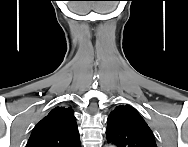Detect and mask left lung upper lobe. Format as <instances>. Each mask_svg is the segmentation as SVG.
Returning a JSON list of instances; mask_svg holds the SVG:
<instances>
[{
	"label": "left lung upper lobe",
	"mask_w": 188,
	"mask_h": 147,
	"mask_svg": "<svg viewBox=\"0 0 188 147\" xmlns=\"http://www.w3.org/2000/svg\"><path fill=\"white\" fill-rule=\"evenodd\" d=\"M107 122V140L118 147H157L151 129L130 105L117 106Z\"/></svg>",
	"instance_id": "5c2ea615"
}]
</instances>
